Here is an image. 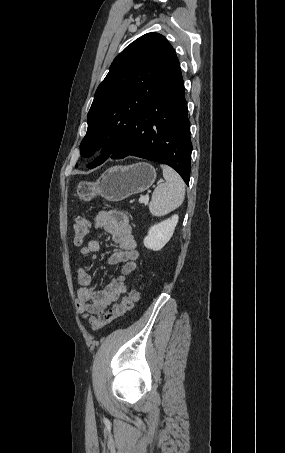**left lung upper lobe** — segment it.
<instances>
[{
  "instance_id": "left-lung-upper-lobe-1",
  "label": "left lung upper lobe",
  "mask_w": 285,
  "mask_h": 453,
  "mask_svg": "<svg viewBox=\"0 0 285 453\" xmlns=\"http://www.w3.org/2000/svg\"><path fill=\"white\" fill-rule=\"evenodd\" d=\"M175 58V50L163 35L147 33L114 59L96 90L80 144L84 157L94 153L91 147L105 148L89 168L102 164L123 142Z\"/></svg>"
}]
</instances>
